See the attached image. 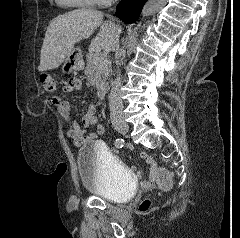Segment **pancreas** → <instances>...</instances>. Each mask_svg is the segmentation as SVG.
<instances>
[{
  "label": "pancreas",
  "instance_id": "pancreas-1",
  "mask_svg": "<svg viewBox=\"0 0 240 238\" xmlns=\"http://www.w3.org/2000/svg\"><path fill=\"white\" fill-rule=\"evenodd\" d=\"M98 58L110 62L108 59L102 57L99 53L96 54L89 52L86 55L87 66L85 68V73L87 75V80L94 87H99L103 83L110 70V63L101 65L100 62L97 61Z\"/></svg>",
  "mask_w": 240,
  "mask_h": 238
}]
</instances>
